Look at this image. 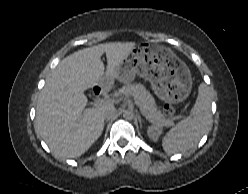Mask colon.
Masks as SVG:
<instances>
[{
  "label": "colon",
  "mask_w": 248,
  "mask_h": 194,
  "mask_svg": "<svg viewBox=\"0 0 248 194\" xmlns=\"http://www.w3.org/2000/svg\"><path fill=\"white\" fill-rule=\"evenodd\" d=\"M163 110L165 114L172 115L174 112V107L170 101L165 102Z\"/></svg>",
  "instance_id": "5ec220e1"
}]
</instances>
